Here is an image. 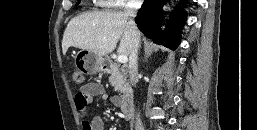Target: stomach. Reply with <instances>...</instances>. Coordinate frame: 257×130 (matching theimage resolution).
<instances>
[{"mask_svg": "<svg viewBox=\"0 0 257 130\" xmlns=\"http://www.w3.org/2000/svg\"><path fill=\"white\" fill-rule=\"evenodd\" d=\"M107 58L89 50H80L76 55V62L83 72L95 74L105 68Z\"/></svg>", "mask_w": 257, "mask_h": 130, "instance_id": "1", "label": "stomach"}]
</instances>
